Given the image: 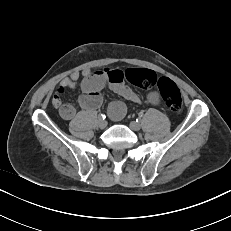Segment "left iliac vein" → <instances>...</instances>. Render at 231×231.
Instances as JSON below:
<instances>
[{
    "mask_svg": "<svg viewBox=\"0 0 231 231\" xmlns=\"http://www.w3.org/2000/svg\"><path fill=\"white\" fill-rule=\"evenodd\" d=\"M129 127L133 131H139L141 129L140 123H138L136 121H131L130 124H129Z\"/></svg>",
    "mask_w": 231,
    "mask_h": 231,
    "instance_id": "1",
    "label": "left iliac vein"
}]
</instances>
